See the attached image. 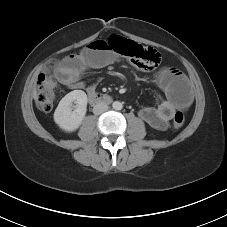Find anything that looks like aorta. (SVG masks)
<instances>
[{
    "mask_svg": "<svg viewBox=\"0 0 227 227\" xmlns=\"http://www.w3.org/2000/svg\"><path fill=\"white\" fill-rule=\"evenodd\" d=\"M112 107L115 110H121L122 109V103L119 102V101H115V102H113Z\"/></svg>",
    "mask_w": 227,
    "mask_h": 227,
    "instance_id": "obj_1",
    "label": "aorta"
}]
</instances>
